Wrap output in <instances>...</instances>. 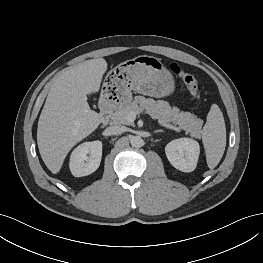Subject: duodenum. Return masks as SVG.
Wrapping results in <instances>:
<instances>
[{"label": "duodenum", "instance_id": "duodenum-1", "mask_svg": "<svg viewBox=\"0 0 263 263\" xmlns=\"http://www.w3.org/2000/svg\"><path fill=\"white\" fill-rule=\"evenodd\" d=\"M112 111V107L109 103H105L100 107V122L103 126L109 122Z\"/></svg>", "mask_w": 263, "mask_h": 263}]
</instances>
